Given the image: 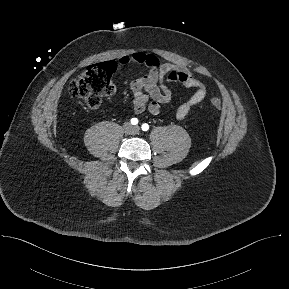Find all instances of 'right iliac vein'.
I'll return each instance as SVG.
<instances>
[{
    "label": "right iliac vein",
    "mask_w": 289,
    "mask_h": 289,
    "mask_svg": "<svg viewBox=\"0 0 289 289\" xmlns=\"http://www.w3.org/2000/svg\"><path fill=\"white\" fill-rule=\"evenodd\" d=\"M124 130H125L126 132H130V131L132 130L131 124H130V123H125V124H124Z\"/></svg>",
    "instance_id": "1"
}]
</instances>
